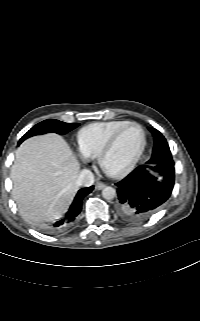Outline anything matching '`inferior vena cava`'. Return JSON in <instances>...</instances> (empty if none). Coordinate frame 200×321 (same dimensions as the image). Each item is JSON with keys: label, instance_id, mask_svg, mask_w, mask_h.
<instances>
[{"label": "inferior vena cava", "instance_id": "1", "mask_svg": "<svg viewBox=\"0 0 200 321\" xmlns=\"http://www.w3.org/2000/svg\"><path fill=\"white\" fill-rule=\"evenodd\" d=\"M77 186L89 187L94 183V175L88 169H82L76 179Z\"/></svg>", "mask_w": 200, "mask_h": 321}]
</instances>
